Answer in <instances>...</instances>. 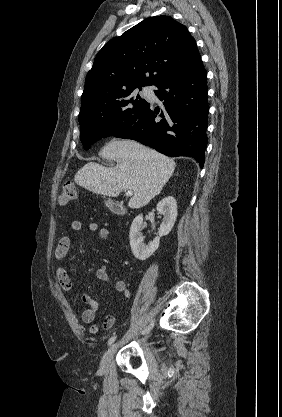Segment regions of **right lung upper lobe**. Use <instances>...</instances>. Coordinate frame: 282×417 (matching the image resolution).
Returning <instances> with one entry per match:
<instances>
[{"label": "right lung upper lobe", "mask_w": 282, "mask_h": 417, "mask_svg": "<svg viewBox=\"0 0 282 417\" xmlns=\"http://www.w3.org/2000/svg\"><path fill=\"white\" fill-rule=\"evenodd\" d=\"M200 61L196 42L184 25L170 16L148 18L98 52L86 76L81 101L102 93L157 87Z\"/></svg>", "instance_id": "obj_1"}]
</instances>
